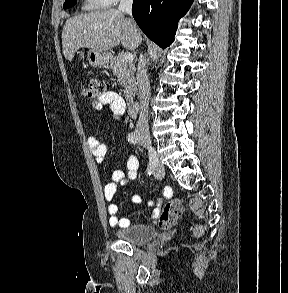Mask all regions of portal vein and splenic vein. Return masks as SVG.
I'll return each instance as SVG.
<instances>
[{
    "label": "portal vein and splenic vein",
    "instance_id": "1",
    "mask_svg": "<svg viewBox=\"0 0 288 293\" xmlns=\"http://www.w3.org/2000/svg\"><path fill=\"white\" fill-rule=\"evenodd\" d=\"M122 59H123V61H125V62H132L133 59H134V57H133V55H132L131 53H124V54L122 55Z\"/></svg>",
    "mask_w": 288,
    "mask_h": 293
}]
</instances>
